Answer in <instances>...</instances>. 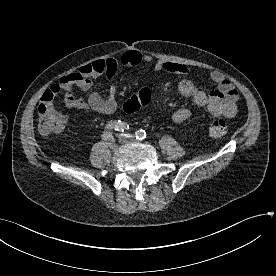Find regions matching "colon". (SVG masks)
<instances>
[{"instance_id":"5ec220e1","label":"colon","mask_w":276,"mask_h":276,"mask_svg":"<svg viewBox=\"0 0 276 276\" xmlns=\"http://www.w3.org/2000/svg\"><path fill=\"white\" fill-rule=\"evenodd\" d=\"M51 101H40L38 105V126L41 134L50 137L62 132L65 126L64 116L55 108L54 97L60 92L58 85L51 89ZM151 100L149 88H142L123 104L126 113H134ZM228 132V125L223 119H213L208 124V133L213 137H222Z\"/></svg>"}]
</instances>
